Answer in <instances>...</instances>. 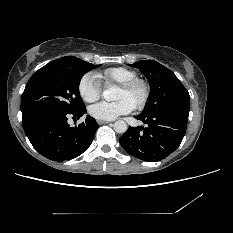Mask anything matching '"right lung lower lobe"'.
<instances>
[{
  "label": "right lung lower lobe",
  "mask_w": 233,
  "mask_h": 233,
  "mask_svg": "<svg viewBox=\"0 0 233 233\" xmlns=\"http://www.w3.org/2000/svg\"><path fill=\"white\" fill-rule=\"evenodd\" d=\"M86 108L75 113L49 111L23 121L24 131L33 147L44 157L62 162L81 155L90 146L99 125L87 116L85 122L70 127L68 116L81 117Z\"/></svg>",
  "instance_id": "right-lung-lower-lobe-1"
}]
</instances>
